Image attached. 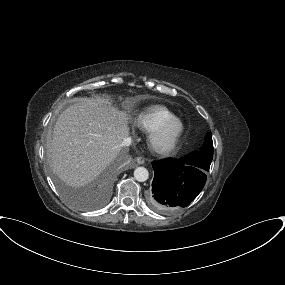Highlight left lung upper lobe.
Segmentation results:
<instances>
[{
    "mask_svg": "<svg viewBox=\"0 0 285 285\" xmlns=\"http://www.w3.org/2000/svg\"><path fill=\"white\" fill-rule=\"evenodd\" d=\"M213 159V142L211 133H207L204 144L199 150H195L180 158L181 161L192 164L203 170L209 171Z\"/></svg>",
    "mask_w": 285,
    "mask_h": 285,
    "instance_id": "1",
    "label": "left lung upper lobe"
}]
</instances>
